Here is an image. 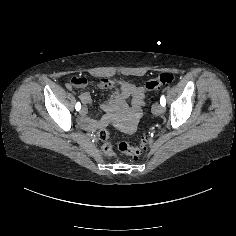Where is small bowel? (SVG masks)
Returning a JSON list of instances; mask_svg holds the SVG:
<instances>
[{
  "mask_svg": "<svg viewBox=\"0 0 236 236\" xmlns=\"http://www.w3.org/2000/svg\"><path fill=\"white\" fill-rule=\"evenodd\" d=\"M103 84H105V83H102V82H100V85H103ZM82 99H83V101L85 102V103H88L89 102V96L87 95V94H83L82 96ZM138 109L140 108V106L142 105V101L140 100V99H138ZM95 129V128H94Z\"/></svg>",
  "mask_w": 236,
  "mask_h": 236,
  "instance_id": "c3829d8e",
  "label": "small bowel"
}]
</instances>
